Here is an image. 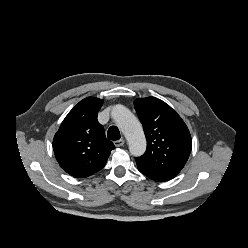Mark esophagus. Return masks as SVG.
Instances as JSON below:
<instances>
[{"instance_id": "esophagus-1", "label": "esophagus", "mask_w": 248, "mask_h": 248, "mask_svg": "<svg viewBox=\"0 0 248 248\" xmlns=\"http://www.w3.org/2000/svg\"><path fill=\"white\" fill-rule=\"evenodd\" d=\"M124 143H125V140H124V139H120V140L115 141V142H114V145H115L116 147H121V146L124 145Z\"/></svg>"}]
</instances>
